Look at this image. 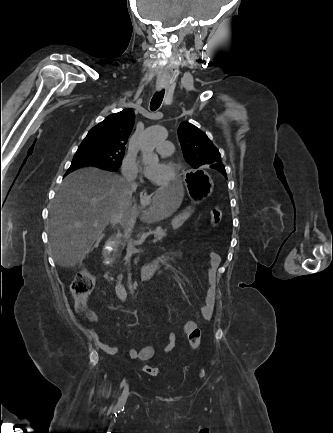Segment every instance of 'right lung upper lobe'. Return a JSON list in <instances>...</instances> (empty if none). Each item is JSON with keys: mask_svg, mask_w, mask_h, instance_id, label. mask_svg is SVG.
I'll return each instance as SVG.
<instances>
[{"mask_svg": "<svg viewBox=\"0 0 333 433\" xmlns=\"http://www.w3.org/2000/svg\"><path fill=\"white\" fill-rule=\"evenodd\" d=\"M135 114L132 109L111 114L93 127L83 141L99 147L125 149L128 136L134 126Z\"/></svg>", "mask_w": 333, "mask_h": 433, "instance_id": "1", "label": "right lung upper lobe"}]
</instances>
